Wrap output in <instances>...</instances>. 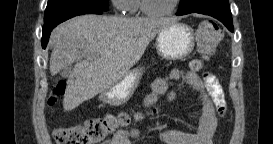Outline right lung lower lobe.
<instances>
[{
    "label": "right lung lower lobe",
    "instance_id": "right-lung-lower-lobe-1",
    "mask_svg": "<svg viewBox=\"0 0 273 144\" xmlns=\"http://www.w3.org/2000/svg\"><path fill=\"white\" fill-rule=\"evenodd\" d=\"M103 12L104 10L102 9H99L96 7H89V6L67 8V9L56 12L50 18L49 22L45 23L43 26V36H42L43 49L46 48L52 29L56 27L59 23L77 15L102 14Z\"/></svg>",
    "mask_w": 273,
    "mask_h": 144
}]
</instances>
